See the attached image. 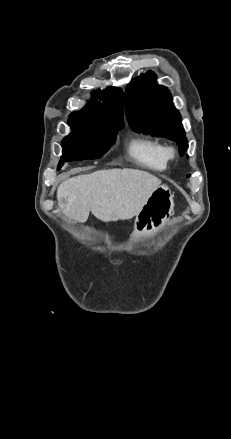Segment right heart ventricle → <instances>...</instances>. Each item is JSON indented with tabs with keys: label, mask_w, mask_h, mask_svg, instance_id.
Segmentation results:
<instances>
[{
	"label": "right heart ventricle",
	"mask_w": 231,
	"mask_h": 439,
	"mask_svg": "<svg viewBox=\"0 0 231 439\" xmlns=\"http://www.w3.org/2000/svg\"><path fill=\"white\" fill-rule=\"evenodd\" d=\"M128 153L137 163L154 171H163L168 166L165 145L152 138H132L128 144Z\"/></svg>",
	"instance_id": "e07e8e85"
}]
</instances>
